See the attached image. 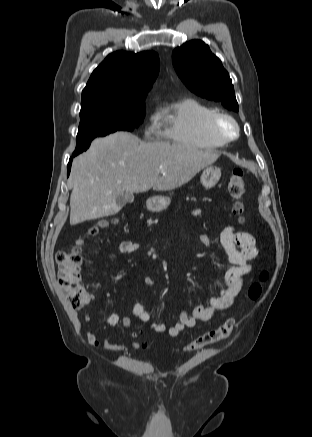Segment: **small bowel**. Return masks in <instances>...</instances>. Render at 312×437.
Listing matches in <instances>:
<instances>
[{"label":"small bowel","instance_id":"1","mask_svg":"<svg viewBox=\"0 0 312 437\" xmlns=\"http://www.w3.org/2000/svg\"><path fill=\"white\" fill-rule=\"evenodd\" d=\"M198 212V210L194 211L195 214ZM195 241L197 244L205 247L212 244L211 239L205 234L198 235ZM220 244L231 263V267L225 273L223 289L211 299L209 305H197L193 308L191 314L181 312L178 322L168 329V334L171 337L178 336L186 328L194 327L198 321H209L215 312L229 308L241 290L244 275L251 271L253 263L259 257V250L252 235L245 231H237L233 225H228L223 229L220 234ZM140 249L141 244L132 240H123L119 244V251L121 253H133ZM142 281L146 286H153L155 284L154 280L149 276L144 277ZM92 298L93 296H89V300ZM131 312L141 322L147 324L150 330L158 333L166 331L164 324L155 323L151 320L149 313L141 303L134 302L131 306ZM85 319L87 323L90 322L88 313L85 315ZM103 322L111 326H116L122 322L129 329L133 328L131 320L126 315H105L103 316ZM86 339L94 347H103L109 351L124 352L127 350L125 345L113 343L107 339H99L90 328L87 330ZM131 345L133 348H140L142 346L138 342H133Z\"/></svg>","mask_w":312,"mask_h":437}]
</instances>
